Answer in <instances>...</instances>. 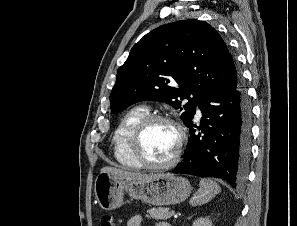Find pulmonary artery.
Listing matches in <instances>:
<instances>
[{"label": "pulmonary artery", "mask_w": 297, "mask_h": 226, "mask_svg": "<svg viewBox=\"0 0 297 226\" xmlns=\"http://www.w3.org/2000/svg\"><path fill=\"white\" fill-rule=\"evenodd\" d=\"M197 117H201V111H200V109H197Z\"/></svg>", "instance_id": "obj_1"}]
</instances>
